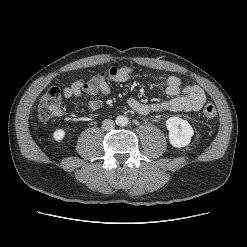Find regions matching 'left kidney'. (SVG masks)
<instances>
[{
	"mask_svg": "<svg viewBox=\"0 0 247 247\" xmlns=\"http://www.w3.org/2000/svg\"><path fill=\"white\" fill-rule=\"evenodd\" d=\"M166 127L169 131V141L172 146L181 148L189 145L194 131L187 120L170 117L166 120Z\"/></svg>",
	"mask_w": 247,
	"mask_h": 247,
	"instance_id": "left-kidney-1",
	"label": "left kidney"
}]
</instances>
